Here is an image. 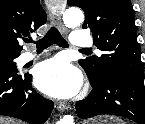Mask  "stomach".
Segmentation results:
<instances>
[{"instance_id": "1", "label": "stomach", "mask_w": 145, "mask_h": 124, "mask_svg": "<svg viewBox=\"0 0 145 124\" xmlns=\"http://www.w3.org/2000/svg\"><path fill=\"white\" fill-rule=\"evenodd\" d=\"M84 124H124V122L116 117L105 116L88 121L87 123Z\"/></svg>"}]
</instances>
